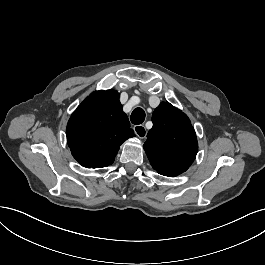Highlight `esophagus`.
Instances as JSON below:
<instances>
[{
	"mask_svg": "<svg viewBox=\"0 0 265 265\" xmlns=\"http://www.w3.org/2000/svg\"><path fill=\"white\" fill-rule=\"evenodd\" d=\"M133 130L135 132V134L140 138V139H143L146 137L147 135V129L145 126L143 125H135L133 127Z\"/></svg>",
	"mask_w": 265,
	"mask_h": 265,
	"instance_id": "obj_1",
	"label": "esophagus"
}]
</instances>
